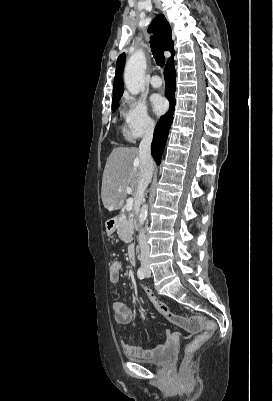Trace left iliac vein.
<instances>
[{
  "instance_id": "left-iliac-vein-1",
  "label": "left iliac vein",
  "mask_w": 273,
  "mask_h": 401,
  "mask_svg": "<svg viewBox=\"0 0 273 401\" xmlns=\"http://www.w3.org/2000/svg\"><path fill=\"white\" fill-rule=\"evenodd\" d=\"M145 275H146V277H150L151 276V270L149 268L148 263L145 264Z\"/></svg>"
}]
</instances>
